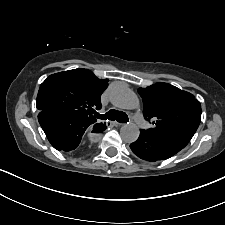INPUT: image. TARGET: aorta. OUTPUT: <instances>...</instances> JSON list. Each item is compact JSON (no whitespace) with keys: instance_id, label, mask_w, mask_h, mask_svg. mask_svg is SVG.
<instances>
[{"instance_id":"obj_1","label":"aorta","mask_w":225,"mask_h":225,"mask_svg":"<svg viewBox=\"0 0 225 225\" xmlns=\"http://www.w3.org/2000/svg\"><path fill=\"white\" fill-rule=\"evenodd\" d=\"M110 100L115 107L125 110H133L140 105L137 95L125 86L113 88L110 94ZM120 135L124 142L132 143L138 139L140 129L134 123H127L121 127Z\"/></svg>"}]
</instances>
